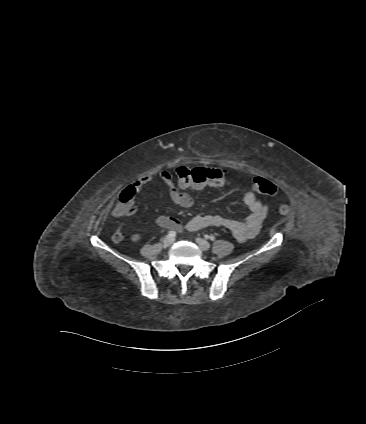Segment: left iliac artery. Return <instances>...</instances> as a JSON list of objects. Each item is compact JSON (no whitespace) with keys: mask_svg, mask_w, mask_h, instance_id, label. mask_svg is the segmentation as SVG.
I'll list each match as a JSON object with an SVG mask.
<instances>
[{"mask_svg":"<svg viewBox=\"0 0 366 424\" xmlns=\"http://www.w3.org/2000/svg\"><path fill=\"white\" fill-rule=\"evenodd\" d=\"M206 237H208L211 241H214L215 240V237L214 236H206Z\"/></svg>","mask_w":366,"mask_h":424,"instance_id":"left-iliac-artery-1","label":"left iliac artery"}]
</instances>
